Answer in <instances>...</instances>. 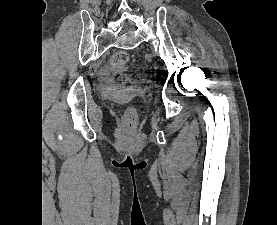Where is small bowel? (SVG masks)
<instances>
[{"label": "small bowel", "instance_id": "small-bowel-1", "mask_svg": "<svg viewBox=\"0 0 277 225\" xmlns=\"http://www.w3.org/2000/svg\"><path fill=\"white\" fill-rule=\"evenodd\" d=\"M111 77L109 76V75H106L105 76V80H106V82L109 84L110 82H111Z\"/></svg>", "mask_w": 277, "mask_h": 225}]
</instances>
